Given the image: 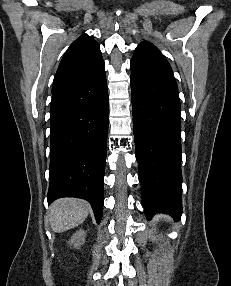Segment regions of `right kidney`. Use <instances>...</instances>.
Returning <instances> with one entry per match:
<instances>
[{"instance_id":"1","label":"right kidney","mask_w":231,"mask_h":286,"mask_svg":"<svg viewBox=\"0 0 231 286\" xmlns=\"http://www.w3.org/2000/svg\"><path fill=\"white\" fill-rule=\"evenodd\" d=\"M86 237V232L82 229L76 231L71 237L69 244L73 245L75 248H80L84 244Z\"/></svg>"}]
</instances>
